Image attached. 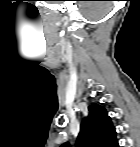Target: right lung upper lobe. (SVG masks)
Segmentation results:
<instances>
[{
    "label": "right lung upper lobe",
    "mask_w": 140,
    "mask_h": 147,
    "mask_svg": "<svg viewBox=\"0 0 140 147\" xmlns=\"http://www.w3.org/2000/svg\"><path fill=\"white\" fill-rule=\"evenodd\" d=\"M80 126L76 147H118L115 127L103 106L92 104ZM62 146L68 147V144Z\"/></svg>",
    "instance_id": "right-lung-upper-lobe-1"
}]
</instances>
